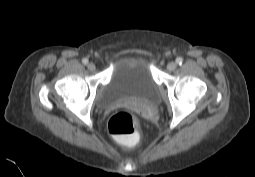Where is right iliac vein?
<instances>
[{
	"label": "right iliac vein",
	"instance_id": "1",
	"mask_svg": "<svg viewBox=\"0 0 255 177\" xmlns=\"http://www.w3.org/2000/svg\"><path fill=\"white\" fill-rule=\"evenodd\" d=\"M87 67H88V69H89L90 71H94L95 68H96V66H95L94 63H89V64L87 65Z\"/></svg>",
	"mask_w": 255,
	"mask_h": 177
}]
</instances>
